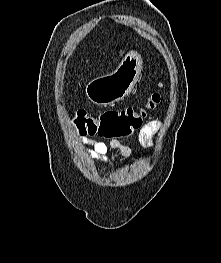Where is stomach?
<instances>
[{
	"mask_svg": "<svg viewBox=\"0 0 221 263\" xmlns=\"http://www.w3.org/2000/svg\"><path fill=\"white\" fill-rule=\"evenodd\" d=\"M142 68L140 55L128 53L113 73L97 77L86 85L88 99L104 106L124 99L138 81Z\"/></svg>",
	"mask_w": 221,
	"mask_h": 263,
	"instance_id": "stomach-1",
	"label": "stomach"
}]
</instances>
